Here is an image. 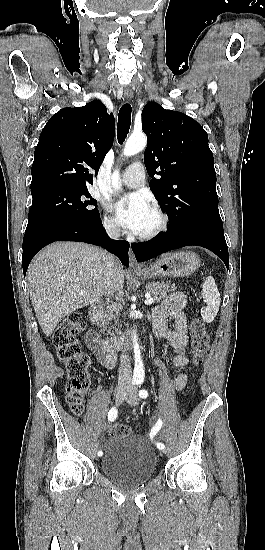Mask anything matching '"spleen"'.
<instances>
[{
	"label": "spleen",
	"mask_w": 265,
	"mask_h": 550,
	"mask_svg": "<svg viewBox=\"0 0 265 550\" xmlns=\"http://www.w3.org/2000/svg\"><path fill=\"white\" fill-rule=\"evenodd\" d=\"M202 296L206 301V306L201 309L202 319L211 323L219 311L221 302L220 293L212 276H208L202 286Z\"/></svg>",
	"instance_id": "obj_1"
}]
</instances>
